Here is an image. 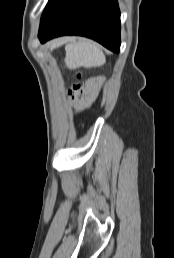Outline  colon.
I'll list each match as a JSON object with an SVG mask.
<instances>
[{
    "label": "colon",
    "mask_w": 174,
    "mask_h": 258,
    "mask_svg": "<svg viewBox=\"0 0 174 258\" xmlns=\"http://www.w3.org/2000/svg\"><path fill=\"white\" fill-rule=\"evenodd\" d=\"M76 78L80 79L81 78V73H77ZM82 87H83V83H81V82H78V83L74 84L73 87H72V90H71V95L78 94L82 90Z\"/></svg>",
    "instance_id": "5ec220e1"
}]
</instances>
